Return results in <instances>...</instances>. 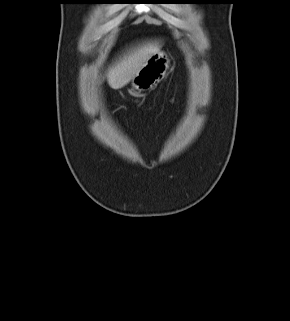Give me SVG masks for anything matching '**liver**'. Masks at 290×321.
<instances>
[{
  "label": "liver",
  "instance_id": "6515ba94",
  "mask_svg": "<svg viewBox=\"0 0 290 321\" xmlns=\"http://www.w3.org/2000/svg\"><path fill=\"white\" fill-rule=\"evenodd\" d=\"M161 45L149 41L127 50L107 70V81L111 88L120 89L127 85L143 67L147 60L159 52Z\"/></svg>",
  "mask_w": 290,
  "mask_h": 321
}]
</instances>
